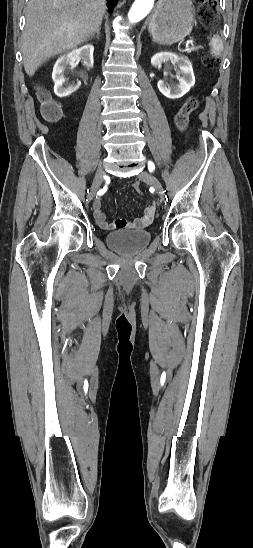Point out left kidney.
I'll use <instances>...</instances> for the list:
<instances>
[{"mask_svg": "<svg viewBox=\"0 0 253 548\" xmlns=\"http://www.w3.org/2000/svg\"><path fill=\"white\" fill-rule=\"evenodd\" d=\"M171 61L172 64H177L181 76L178 78V84H167L159 80L157 83L159 91L169 99H178L185 95L195 84V76L192 64L185 56H178L174 53L161 52L155 54L151 58L153 66H161L163 62Z\"/></svg>", "mask_w": 253, "mask_h": 548, "instance_id": "obj_1", "label": "left kidney"}]
</instances>
